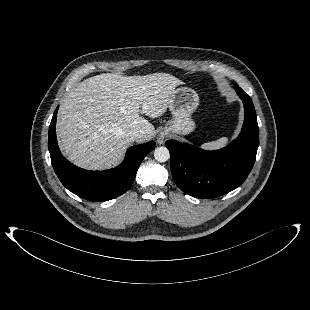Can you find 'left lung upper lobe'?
<instances>
[{"label": "left lung upper lobe", "mask_w": 310, "mask_h": 310, "mask_svg": "<svg viewBox=\"0 0 310 310\" xmlns=\"http://www.w3.org/2000/svg\"><path fill=\"white\" fill-rule=\"evenodd\" d=\"M235 87H238V85H237V84H235Z\"/></svg>", "instance_id": "1"}]
</instances>
